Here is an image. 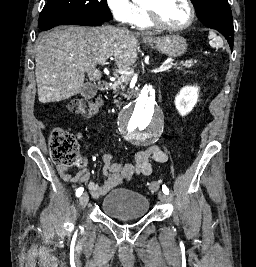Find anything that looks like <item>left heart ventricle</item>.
Listing matches in <instances>:
<instances>
[{
  "label": "left heart ventricle",
  "mask_w": 256,
  "mask_h": 267,
  "mask_svg": "<svg viewBox=\"0 0 256 267\" xmlns=\"http://www.w3.org/2000/svg\"><path fill=\"white\" fill-rule=\"evenodd\" d=\"M153 11L152 21H143L144 28L152 25H173L184 24L189 18L188 7L180 0L149 1Z\"/></svg>",
  "instance_id": "b2bd125f"
}]
</instances>
